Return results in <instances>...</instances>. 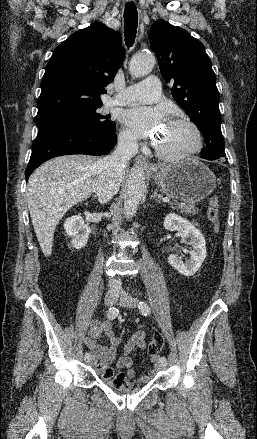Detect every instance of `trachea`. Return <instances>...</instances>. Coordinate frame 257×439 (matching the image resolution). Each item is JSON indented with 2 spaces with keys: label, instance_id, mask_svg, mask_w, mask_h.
<instances>
[{
  "label": "trachea",
  "instance_id": "obj_1",
  "mask_svg": "<svg viewBox=\"0 0 257 439\" xmlns=\"http://www.w3.org/2000/svg\"><path fill=\"white\" fill-rule=\"evenodd\" d=\"M138 12L134 3H127L124 9V36L128 47L132 46L136 37Z\"/></svg>",
  "mask_w": 257,
  "mask_h": 439
}]
</instances>
